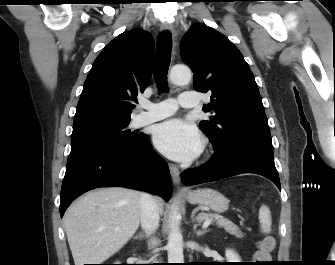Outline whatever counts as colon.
Segmentation results:
<instances>
[{
    "instance_id": "5ec220e1",
    "label": "colon",
    "mask_w": 335,
    "mask_h": 265,
    "mask_svg": "<svg viewBox=\"0 0 335 265\" xmlns=\"http://www.w3.org/2000/svg\"><path fill=\"white\" fill-rule=\"evenodd\" d=\"M275 242L273 237L265 236L258 244V250L255 254L257 263L266 264L271 260V252L273 251Z\"/></svg>"
}]
</instances>
